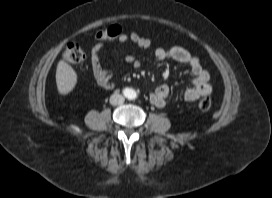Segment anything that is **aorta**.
Instances as JSON below:
<instances>
[{
	"mask_svg": "<svg viewBox=\"0 0 272 198\" xmlns=\"http://www.w3.org/2000/svg\"><path fill=\"white\" fill-rule=\"evenodd\" d=\"M125 95L128 99H135L137 97L136 91L131 88L125 91Z\"/></svg>",
	"mask_w": 272,
	"mask_h": 198,
	"instance_id": "aorta-1",
	"label": "aorta"
}]
</instances>
